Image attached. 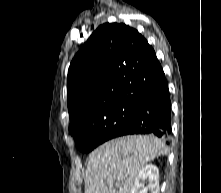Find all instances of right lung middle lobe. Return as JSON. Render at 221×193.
I'll list each match as a JSON object with an SVG mask.
<instances>
[{
    "label": "right lung middle lobe",
    "mask_w": 221,
    "mask_h": 193,
    "mask_svg": "<svg viewBox=\"0 0 221 193\" xmlns=\"http://www.w3.org/2000/svg\"><path fill=\"white\" fill-rule=\"evenodd\" d=\"M140 109V99L115 101L76 123L72 136L82 152H90L128 124Z\"/></svg>",
    "instance_id": "obj_1"
}]
</instances>
